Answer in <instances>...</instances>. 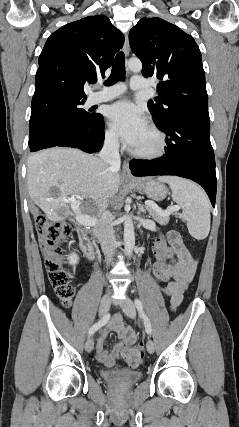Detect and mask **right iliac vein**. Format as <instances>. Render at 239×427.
<instances>
[{"mask_svg": "<svg viewBox=\"0 0 239 427\" xmlns=\"http://www.w3.org/2000/svg\"><path fill=\"white\" fill-rule=\"evenodd\" d=\"M110 304H111V299H110V295L106 294L102 297L101 302H100V306H99V314L100 316H104L109 308H110ZM94 348V340L92 337L88 338V340L85 343V350L90 353Z\"/></svg>", "mask_w": 239, "mask_h": 427, "instance_id": "obj_1", "label": "right iliac vein"}]
</instances>
